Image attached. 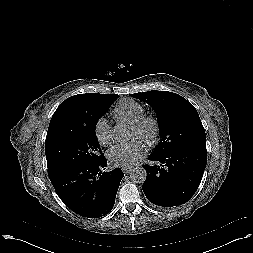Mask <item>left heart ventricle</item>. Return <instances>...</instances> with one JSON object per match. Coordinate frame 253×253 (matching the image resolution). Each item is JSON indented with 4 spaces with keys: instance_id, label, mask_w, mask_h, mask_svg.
Wrapping results in <instances>:
<instances>
[{
    "instance_id": "left-heart-ventricle-1",
    "label": "left heart ventricle",
    "mask_w": 253,
    "mask_h": 253,
    "mask_svg": "<svg viewBox=\"0 0 253 253\" xmlns=\"http://www.w3.org/2000/svg\"><path fill=\"white\" fill-rule=\"evenodd\" d=\"M148 133H149V128L146 129L144 134H148ZM130 137L131 138L137 137V138L142 139L141 136L139 135V133L136 130H134L133 128L130 129Z\"/></svg>"
}]
</instances>
